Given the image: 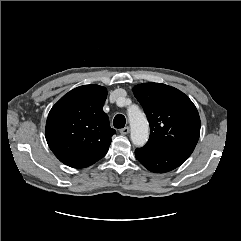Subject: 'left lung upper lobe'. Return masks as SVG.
<instances>
[{"label": "left lung upper lobe", "mask_w": 241, "mask_h": 241, "mask_svg": "<svg viewBox=\"0 0 241 241\" xmlns=\"http://www.w3.org/2000/svg\"><path fill=\"white\" fill-rule=\"evenodd\" d=\"M149 124L147 146L193 152L200 135V117L192 101L162 83H143L133 89Z\"/></svg>", "instance_id": "left-lung-upper-lobe-1"}]
</instances>
